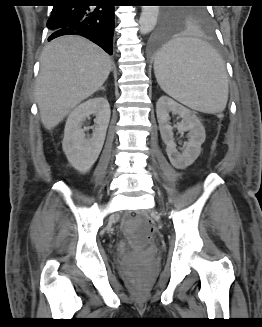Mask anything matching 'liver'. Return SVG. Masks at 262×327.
<instances>
[{
	"label": "liver",
	"instance_id": "liver-1",
	"mask_svg": "<svg viewBox=\"0 0 262 327\" xmlns=\"http://www.w3.org/2000/svg\"><path fill=\"white\" fill-rule=\"evenodd\" d=\"M111 69L107 53L83 37L66 35L48 43L40 58L35 88L43 126L47 130L56 127L102 87Z\"/></svg>",
	"mask_w": 262,
	"mask_h": 327
}]
</instances>
